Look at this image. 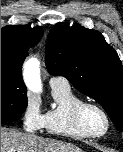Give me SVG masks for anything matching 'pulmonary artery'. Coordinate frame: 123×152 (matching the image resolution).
Returning a JSON list of instances; mask_svg holds the SVG:
<instances>
[{
	"instance_id": "e3ab8cb5",
	"label": "pulmonary artery",
	"mask_w": 123,
	"mask_h": 152,
	"mask_svg": "<svg viewBox=\"0 0 123 152\" xmlns=\"http://www.w3.org/2000/svg\"><path fill=\"white\" fill-rule=\"evenodd\" d=\"M49 84L51 87L69 86L68 80L62 76H52L49 80Z\"/></svg>"
}]
</instances>
